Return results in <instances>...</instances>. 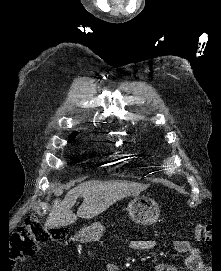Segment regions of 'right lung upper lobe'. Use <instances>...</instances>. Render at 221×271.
<instances>
[{
    "mask_svg": "<svg viewBox=\"0 0 221 271\" xmlns=\"http://www.w3.org/2000/svg\"><path fill=\"white\" fill-rule=\"evenodd\" d=\"M77 132L73 133L72 136L69 139V142H71L72 140H74V138L76 137Z\"/></svg>",
    "mask_w": 221,
    "mask_h": 271,
    "instance_id": "1",
    "label": "right lung upper lobe"
}]
</instances>
